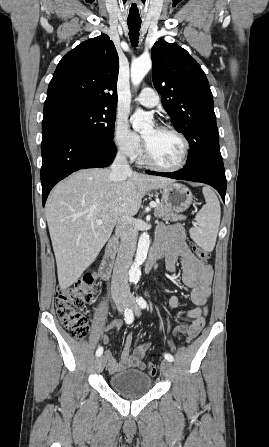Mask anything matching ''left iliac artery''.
<instances>
[{
    "instance_id": "1",
    "label": "left iliac artery",
    "mask_w": 269,
    "mask_h": 447,
    "mask_svg": "<svg viewBox=\"0 0 269 447\" xmlns=\"http://www.w3.org/2000/svg\"><path fill=\"white\" fill-rule=\"evenodd\" d=\"M136 302L143 309L147 307V303H146V301H145V299L143 297H137ZM161 325H162V321H161ZM164 357H165V359H167L170 362H172L174 360L173 356L171 354H168V353H165Z\"/></svg>"
}]
</instances>
